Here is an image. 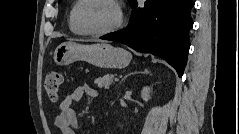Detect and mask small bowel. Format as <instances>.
I'll use <instances>...</instances> for the list:
<instances>
[{
	"mask_svg": "<svg viewBox=\"0 0 239 134\" xmlns=\"http://www.w3.org/2000/svg\"><path fill=\"white\" fill-rule=\"evenodd\" d=\"M84 95L96 99L99 97V92L94 87L84 84L75 88L60 103V112L55 117L54 123L61 134H75L78 127V117L73 109V104L80 101Z\"/></svg>",
	"mask_w": 239,
	"mask_h": 134,
	"instance_id": "1",
	"label": "small bowel"
}]
</instances>
